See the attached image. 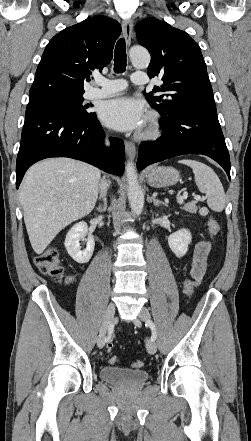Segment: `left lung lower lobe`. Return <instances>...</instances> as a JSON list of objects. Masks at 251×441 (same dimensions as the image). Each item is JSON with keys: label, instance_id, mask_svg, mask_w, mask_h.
I'll list each match as a JSON object with an SVG mask.
<instances>
[{"label": "left lung lower lobe", "instance_id": "obj_1", "mask_svg": "<svg viewBox=\"0 0 251 441\" xmlns=\"http://www.w3.org/2000/svg\"><path fill=\"white\" fill-rule=\"evenodd\" d=\"M163 134L139 146L138 170L184 154H203L214 159L230 179V158L216 108L185 109L160 121Z\"/></svg>", "mask_w": 251, "mask_h": 441}]
</instances>
